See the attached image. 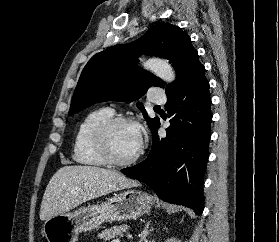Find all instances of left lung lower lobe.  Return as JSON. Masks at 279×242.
<instances>
[{"mask_svg":"<svg viewBox=\"0 0 279 242\" xmlns=\"http://www.w3.org/2000/svg\"><path fill=\"white\" fill-rule=\"evenodd\" d=\"M170 126L166 138L152 129L149 156L143 162L122 169L126 176L149 185L160 199L203 212V181L211 138V98L205 68L196 52L181 80L166 93Z\"/></svg>","mask_w":279,"mask_h":242,"instance_id":"0a47b994","label":"left lung lower lobe"}]
</instances>
